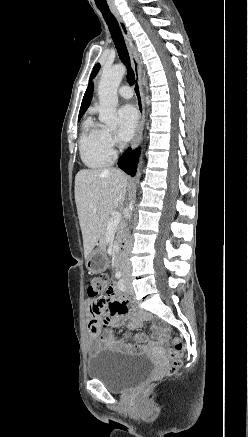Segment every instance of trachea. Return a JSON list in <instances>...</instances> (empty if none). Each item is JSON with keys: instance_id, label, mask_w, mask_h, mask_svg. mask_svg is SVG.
<instances>
[{"instance_id": "3493384b", "label": "trachea", "mask_w": 248, "mask_h": 437, "mask_svg": "<svg viewBox=\"0 0 248 437\" xmlns=\"http://www.w3.org/2000/svg\"><path fill=\"white\" fill-rule=\"evenodd\" d=\"M100 12L102 13L108 28L110 30L113 42L115 44V47L117 49L118 55L121 59V61L126 65L127 67V81L130 85H133L135 82V75L134 71L131 68L130 65V57L129 53L122 35V32L120 30L119 24L114 17V15L111 13L109 8H100Z\"/></svg>"}]
</instances>
